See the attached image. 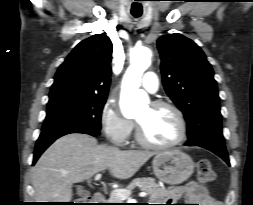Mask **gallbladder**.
Wrapping results in <instances>:
<instances>
[{"mask_svg":"<svg viewBox=\"0 0 253 205\" xmlns=\"http://www.w3.org/2000/svg\"><path fill=\"white\" fill-rule=\"evenodd\" d=\"M78 195L82 196V197H89L90 193L88 191L85 190H78Z\"/></svg>","mask_w":253,"mask_h":205,"instance_id":"bac80fb5","label":"gallbladder"}]
</instances>
